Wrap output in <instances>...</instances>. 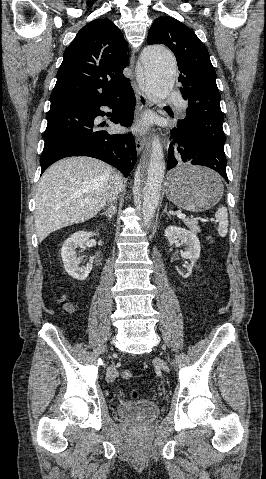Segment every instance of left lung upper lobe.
I'll return each mask as SVG.
<instances>
[{"label":"left lung upper lobe","mask_w":266,"mask_h":479,"mask_svg":"<svg viewBox=\"0 0 266 479\" xmlns=\"http://www.w3.org/2000/svg\"><path fill=\"white\" fill-rule=\"evenodd\" d=\"M147 40L149 44L166 45L176 57L180 91L188 102L186 118L178 120L177 128L200 151L204 161L226 159L221 96L207 48L189 27L167 16L154 21Z\"/></svg>","instance_id":"obj_1"}]
</instances>
